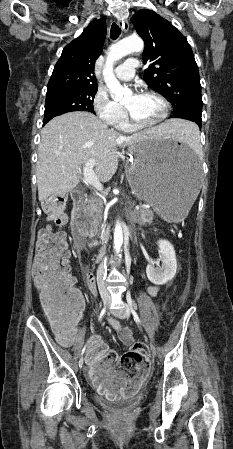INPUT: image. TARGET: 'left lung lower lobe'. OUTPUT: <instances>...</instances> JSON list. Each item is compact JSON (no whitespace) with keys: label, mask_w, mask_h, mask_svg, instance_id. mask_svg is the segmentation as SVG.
<instances>
[{"label":"left lung lower lobe","mask_w":233,"mask_h":449,"mask_svg":"<svg viewBox=\"0 0 233 449\" xmlns=\"http://www.w3.org/2000/svg\"><path fill=\"white\" fill-rule=\"evenodd\" d=\"M202 123V122H201ZM201 123L200 124H198V126L201 128Z\"/></svg>","instance_id":"0a47b994"}]
</instances>
